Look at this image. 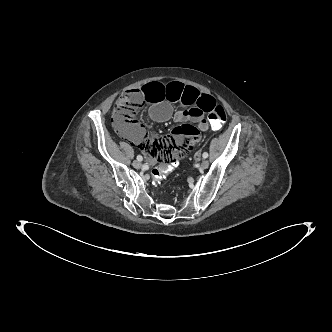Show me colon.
I'll return each instance as SVG.
<instances>
[{
	"label": "colon",
	"mask_w": 332,
	"mask_h": 332,
	"mask_svg": "<svg viewBox=\"0 0 332 332\" xmlns=\"http://www.w3.org/2000/svg\"><path fill=\"white\" fill-rule=\"evenodd\" d=\"M143 107L141 94L138 90H131L121 94L113 107V120L118 129H130L135 123V116ZM208 120L212 128H221L227 119L226 112L221 105L214 104L208 111ZM180 161L176 157H171L167 162H161L153 167L151 174L156 182H160L173 170L178 169Z\"/></svg>",
	"instance_id": "1"
}]
</instances>
